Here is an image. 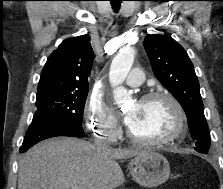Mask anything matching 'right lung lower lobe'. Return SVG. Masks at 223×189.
<instances>
[{
  "instance_id": "right-lung-lower-lobe-1",
  "label": "right lung lower lobe",
  "mask_w": 223,
  "mask_h": 189,
  "mask_svg": "<svg viewBox=\"0 0 223 189\" xmlns=\"http://www.w3.org/2000/svg\"><path fill=\"white\" fill-rule=\"evenodd\" d=\"M83 130L71 127L69 124L56 120L33 118L20 147V152H26L36 143L56 136H81Z\"/></svg>"
}]
</instances>
